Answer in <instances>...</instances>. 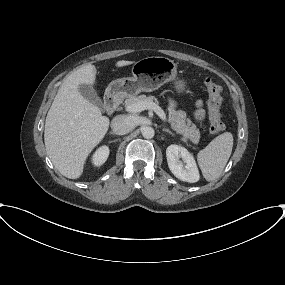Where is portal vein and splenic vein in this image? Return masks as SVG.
Wrapping results in <instances>:
<instances>
[{"instance_id":"obj_1","label":"portal vein and splenic vein","mask_w":285,"mask_h":285,"mask_svg":"<svg viewBox=\"0 0 285 285\" xmlns=\"http://www.w3.org/2000/svg\"><path fill=\"white\" fill-rule=\"evenodd\" d=\"M150 109L153 110L164 122L167 120L164 111L157 104L153 102H137L131 104L125 108L127 112L137 113L143 110Z\"/></svg>"}]
</instances>
